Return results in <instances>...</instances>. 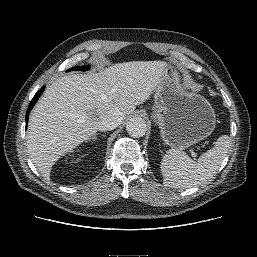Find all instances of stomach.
<instances>
[{"instance_id":"stomach-1","label":"stomach","mask_w":257,"mask_h":257,"mask_svg":"<svg viewBox=\"0 0 257 257\" xmlns=\"http://www.w3.org/2000/svg\"><path fill=\"white\" fill-rule=\"evenodd\" d=\"M152 119L158 124L164 143L186 149L207 138L216 124L215 111L201 95L182 82L176 67L166 64L154 91Z\"/></svg>"}]
</instances>
